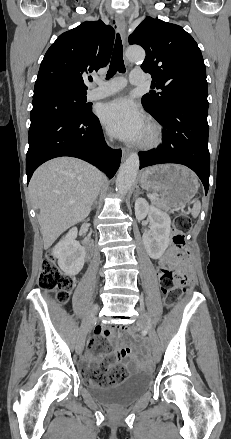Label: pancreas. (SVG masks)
<instances>
[{
    "instance_id": "1",
    "label": "pancreas",
    "mask_w": 231,
    "mask_h": 439,
    "mask_svg": "<svg viewBox=\"0 0 231 439\" xmlns=\"http://www.w3.org/2000/svg\"><path fill=\"white\" fill-rule=\"evenodd\" d=\"M151 201H152L153 204H155V205H157V206H159L161 208H164V206H163V204H162L160 199H158V198L157 199H151ZM164 209H166L168 211L170 210L168 208H164Z\"/></svg>"
}]
</instances>
